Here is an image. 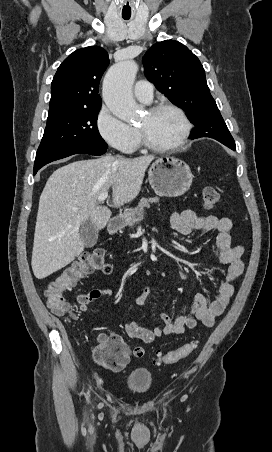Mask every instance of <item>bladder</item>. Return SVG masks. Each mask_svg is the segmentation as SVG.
I'll list each match as a JSON object with an SVG mask.
<instances>
[{
    "label": "bladder",
    "mask_w": 272,
    "mask_h": 452,
    "mask_svg": "<svg viewBox=\"0 0 272 452\" xmlns=\"http://www.w3.org/2000/svg\"><path fill=\"white\" fill-rule=\"evenodd\" d=\"M152 374L144 368H133L127 375L126 386L134 393L143 394L152 387Z\"/></svg>",
    "instance_id": "31cf9c89"
}]
</instances>
